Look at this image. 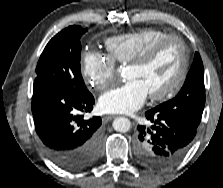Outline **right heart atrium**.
<instances>
[{"instance_id": "d8ad5b80", "label": "right heart atrium", "mask_w": 223, "mask_h": 188, "mask_svg": "<svg viewBox=\"0 0 223 188\" xmlns=\"http://www.w3.org/2000/svg\"><path fill=\"white\" fill-rule=\"evenodd\" d=\"M81 73L89 87L102 91L115 79L116 66L110 57L87 51L82 59Z\"/></svg>"}]
</instances>
